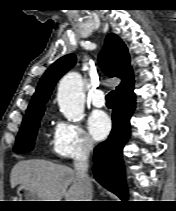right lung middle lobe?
I'll return each instance as SVG.
<instances>
[{"label": "right lung middle lobe", "instance_id": "dd1d6c3e", "mask_svg": "<svg viewBox=\"0 0 176 211\" xmlns=\"http://www.w3.org/2000/svg\"><path fill=\"white\" fill-rule=\"evenodd\" d=\"M44 111L26 116L23 119L22 126L16 138V144L13 150L17 153H24L31 151L34 147V140L36 138L40 119Z\"/></svg>", "mask_w": 176, "mask_h": 211}]
</instances>
